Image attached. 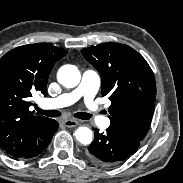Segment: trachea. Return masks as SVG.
Returning a JSON list of instances; mask_svg holds the SVG:
<instances>
[{
  "mask_svg": "<svg viewBox=\"0 0 183 183\" xmlns=\"http://www.w3.org/2000/svg\"><path fill=\"white\" fill-rule=\"evenodd\" d=\"M36 110L38 111L39 114L45 115L47 117H59L61 116V112L57 111V110H42L40 108H36ZM74 117L82 119V120H89L92 116L91 114L88 113H84V112H78L74 114Z\"/></svg>",
  "mask_w": 183,
  "mask_h": 183,
  "instance_id": "obj_1",
  "label": "trachea"
}]
</instances>
